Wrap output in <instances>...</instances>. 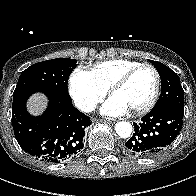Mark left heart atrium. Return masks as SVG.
<instances>
[{"mask_svg":"<svg viewBox=\"0 0 196 196\" xmlns=\"http://www.w3.org/2000/svg\"><path fill=\"white\" fill-rule=\"evenodd\" d=\"M128 111L129 109L113 96L101 108L102 114L108 116H120L126 114Z\"/></svg>","mask_w":196,"mask_h":196,"instance_id":"1","label":"left heart atrium"}]
</instances>
